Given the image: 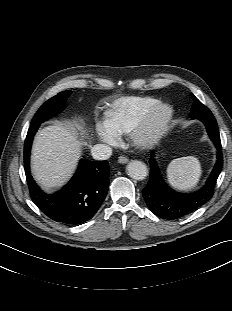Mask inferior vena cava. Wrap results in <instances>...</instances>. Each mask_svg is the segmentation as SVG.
Masks as SVG:
<instances>
[{"label": "inferior vena cava", "instance_id": "602c4592", "mask_svg": "<svg viewBox=\"0 0 232 311\" xmlns=\"http://www.w3.org/2000/svg\"><path fill=\"white\" fill-rule=\"evenodd\" d=\"M91 153L96 160H107L112 155V148L105 144H96L92 147Z\"/></svg>", "mask_w": 232, "mask_h": 311}]
</instances>
